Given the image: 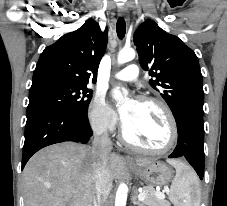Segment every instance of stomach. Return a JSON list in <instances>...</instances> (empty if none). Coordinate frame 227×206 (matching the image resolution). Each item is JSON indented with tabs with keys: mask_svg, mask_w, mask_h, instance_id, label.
Returning a JSON list of instances; mask_svg holds the SVG:
<instances>
[{
	"mask_svg": "<svg viewBox=\"0 0 227 206\" xmlns=\"http://www.w3.org/2000/svg\"><path fill=\"white\" fill-rule=\"evenodd\" d=\"M130 169L152 186L167 185L173 178L172 169L160 161H152L147 165H141L136 161V163L130 164Z\"/></svg>",
	"mask_w": 227,
	"mask_h": 206,
	"instance_id": "stomach-1",
	"label": "stomach"
}]
</instances>
